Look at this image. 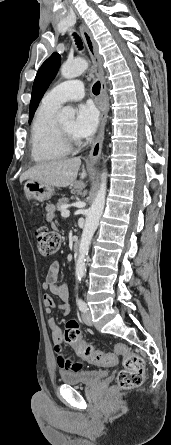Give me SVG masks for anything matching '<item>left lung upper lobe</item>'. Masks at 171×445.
Instances as JSON below:
<instances>
[{"instance_id": "1", "label": "left lung upper lobe", "mask_w": 171, "mask_h": 445, "mask_svg": "<svg viewBox=\"0 0 171 445\" xmlns=\"http://www.w3.org/2000/svg\"><path fill=\"white\" fill-rule=\"evenodd\" d=\"M60 61V55L55 52L42 64L38 70L32 89L29 123L32 121L34 112L38 107L41 98L49 87V84L55 78L60 66Z\"/></svg>"}]
</instances>
